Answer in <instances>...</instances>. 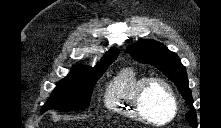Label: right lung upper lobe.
Segmentation results:
<instances>
[{"label": "right lung upper lobe", "mask_w": 221, "mask_h": 128, "mask_svg": "<svg viewBox=\"0 0 221 128\" xmlns=\"http://www.w3.org/2000/svg\"><path fill=\"white\" fill-rule=\"evenodd\" d=\"M115 55H118V50H115V49L109 50V51L104 55V57L102 58L101 62L98 63V65L101 64V63H103L105 60L109 59L110 57L115 56ZM81 68H84V67H81V66L74 67L70 73H73V72H75V71H77V70H79V69H81Z\"/></svg>", "instance_id": "cb5924a9"}]
</instances>
